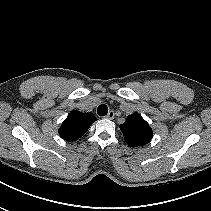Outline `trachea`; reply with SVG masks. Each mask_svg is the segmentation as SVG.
Returning a JSON list of instances; mask_svg holds the SVG:
<instances>
[{"mask_svg":"<svg viewBox=\"0 0 211 211\" xmlns=\"http://www.w3.org/2000/svg\"><path fill=\"white\" fill-rule=\"evenodd\" d=\"M97 113L99 116H105L108 113V107L105 104L99 105L97 108Z\"/></svg>","mask_w":211,"mask_h":211,"instance_id":"trachea-1","label":"trachea"}]
</instances>
